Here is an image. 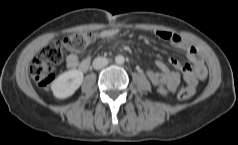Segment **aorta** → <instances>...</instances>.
<instances>
[{"mask_svg":"<svg viewBox=\"0 0 238 145\" xmlns=\"http://www.w3.org/2000/svg\"><path fill=\"white\" fill-rule=\"evenodd\" d=\"M115 62L119 65L123 64L125 62V58L122 55H117L115 57Z\"/></svg>","mask_w":238,"mask_h":145,"instance_id":"762f6f07","label":"aorta"}]
</instances>
